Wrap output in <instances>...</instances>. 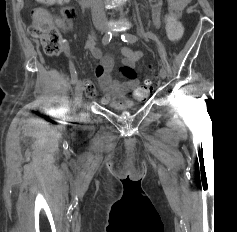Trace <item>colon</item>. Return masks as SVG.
Here are the masks:
<instances>
[{
  "label": "colon",
  "instance_id": "5ec220e1",
  "mask_svg": "<svg viewBox=\"0 0 237 232\" xmlns=\"http://www.w3.org/2000/svg\"><path fill=\"white\" fill-rule=\"evenodd\" d=\"M46 6L54 4H64L66 0H36ZM66 19L72 20L76 16V11L72 7H66L63 11ZM165 25L168 38L172 42H178L183 34V28L178 18L171 14L165 15ZM29 34L38 39L43 47L44 52L49 56L58 55L64 46L63 38L55 25L52 14L44 7H37L31 13V24ZM153 82L147 80L145 88L152 89Z\"/></svg>",
  "mask_w": 237,
  "mask_h": 232
}]
</instances>
